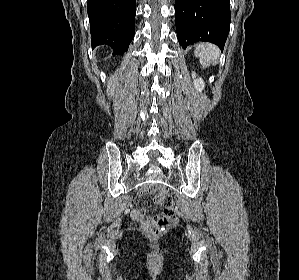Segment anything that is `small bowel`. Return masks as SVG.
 <instances>
[{"label": "small bowel", "mask_w": 299, "mask_h": 280, "mask_svg": "<svg viewBox=\"0 0 299 280\" xmlns=\"http://www.w3.org/2000/svg\"><path fill=\"white\" fill-rule=\"evenodd\" d=\"M131 216L136 222L141 224L143 227H147L151 220V219L146 218L144 216V214L137 208L132 210Z\"/></svg>", "instance_id": "c3829d8e"}]
</instances>
